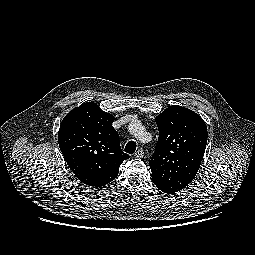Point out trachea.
Listing matches in <instances>:
<instances>
[{
	"instance_id": "obj_1",
	"label": "trachea",
	"mask_w": 255,
	"mask_h": 255,
	"mask_svg": "<svg viewBox=\"0 0 255 255\" xmlns=\"http://www.w3.org/2000/svg\"><path fill=\"white\" fill-rule=\"evenodd\" d=\"M125 152L133 154L136 150V143L134 141H129L125 146Z\"/></svg>"
}]
</instances>
